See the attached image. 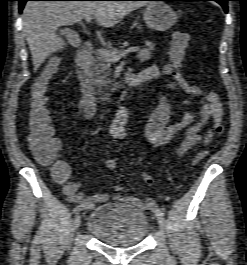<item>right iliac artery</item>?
Segmentation results:
<instances>
[{
	"label": "right iliac artery",
	"instance_id": "right-iliac-artery-1",
	"mask_svg": "<svg viewBox=\"0 0 247 265\" xmlns=\"http://www.w3.org/2000/svg\"><path fill=\"white\" fill-rule=\"evenodd\" d=\"M93 207H94L93 204H91V203H85V204L77 205L73 209V212H78V211H81V210H89V209H92Z\"/></svg>",
	"mask_w": 247,
	"mask_h": 265
}]
</instances>
